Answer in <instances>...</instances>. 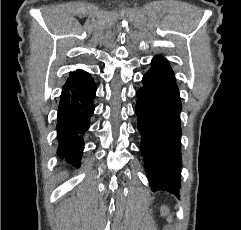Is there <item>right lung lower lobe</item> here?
Segmentation results:
<instances>
[{
	"label": "right lung lower lobe",
	"instance_id": "right-lung-lower-lobe-1",
	"mask_svg": "<svg viewBox=\"0 0 241 230\" xmlns=\"http://www.w3.org/2000/svg\"><path fill=\"white\" fill-rule=\"evenodd\" d=\"M96 89L91 75L80 69L70 72L62 87L57 116V154L75 167L80 165L83 135L94 112Z\"/></svg>",
	"mask_w": 241,
	"mask_h": 230
}]
</instances>
